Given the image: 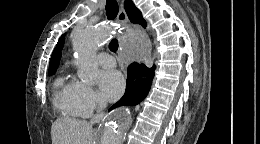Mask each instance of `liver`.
I'll use <instances>...</instances> for the list:
<instances>
[{
    "mask_svg": "<svg viewBox=\"0 0 260 144\" xmlns=\"http://www.w3.org/2000/svg\"><path fill=\"white\" fill-rule=\"evenodd\" d=\"M92 125L75 118L62 117L51 127L52 144H91Z\"/></svg>",
    "mask_w": 260,
    "mask_h": 144,
    "instance_id": "liver-1",
    "label": "liver"
}]
</instances>
